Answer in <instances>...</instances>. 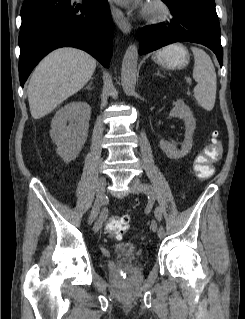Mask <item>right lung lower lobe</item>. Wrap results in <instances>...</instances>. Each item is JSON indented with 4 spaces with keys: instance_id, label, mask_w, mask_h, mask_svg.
Segmentation results:
<instances>
[{
    "instance_id": "98d812e1",
    "label": "right lung lower lobe",
    "mask_w": 245,
    "mask_h": 319,
    "mask_svg": "<svg viewBox=\"0 0 245 319\" xmlns=\"http://www.w3.org/2000/svg\"><path fill=\"white\" fill-rule=\"evenodd\" d=\"M19 78L23 86L33 68L52 50L80 48L108 67L113 26L107 0H25L21 8Z\"/></svg>"
}]
</instances>
